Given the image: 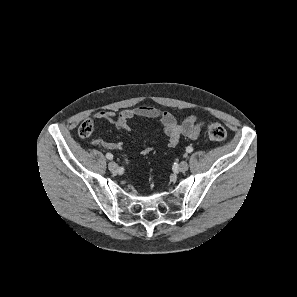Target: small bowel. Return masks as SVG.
Segmentation results:
<instances>
[{"label":"small bowel","mask_w":297,"mask_h":297,"mask_svg":"<svg viewBox=\"0 0 297 297\" xmlns=\"http://www.w3.org/2000/svg\"><path fill=\"white\" fill-rule=\"evenodd\" d=\"M132 118L157 120L163 128L169 147H175L183 136L189 139H196L204 125L194 115L188 116L181 123H178L171 113L152 106H138L124 109L117 113L109 110H100L93 116L95 120H107L118 129L125 131L130 129L129 120ZM91 142L108 150H124L126 148L122 142L107 141L101 138H93ZM152 150V147L147 146L140 151V154L145 156L150 154Z\"/></svg>","instance_id":"small-bowel-1"}]
</instances>
